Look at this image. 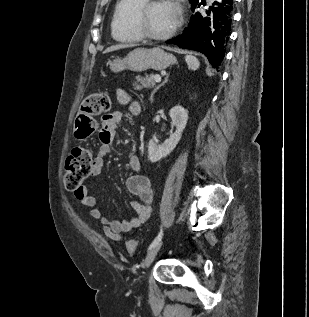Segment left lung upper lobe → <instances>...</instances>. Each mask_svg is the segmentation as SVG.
<instances>
[{
  "instance_id": "left-lung-upper-lobe-1",
  "label": "left lung upper lobe",
  "mask_w": 309,
  "mask_h": 317,
  "mask_svg": "<svg viewBox=\"0 0 309 317\" xmlns=\"http://www.w3.org/2000/svg\"><path fill=\"white\" fill-rule=\"evenodd\" d=\"M199 0H190V2L192 3V6L196 5L198 3Z\"/></svg>"
}]
</instances>
